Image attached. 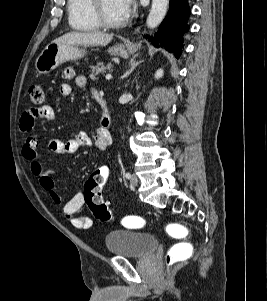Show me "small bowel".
<instances>
[{
	"label": "small bowel",
	"instance_id": "1",
	"mask_svg": "<svg viewBox=\"0 0 267 301\" xmlns=\"http://www.w3.org/2000/svg\"><path fill=\"white\" fill-rule=\"evenodd\" d=\"M63 82L59 87V92L62 96H69L71 94V86L68 81L74 78V71L72 69H64L61 73ZM77 87L81 89L88 88L87 78L84 76H77L75 78ZM95 96L97 91L91 89ZM55 113L52 107L45 105L40 108H32L24 112L20 117L19 129L25 134V141L22 146V155L30 162V168L34 176L37 178L40 186L47 191L51 200L57 204L61 202V197L55 187L52 173L44 171L39 160L38 138L34 133V124L36 119L45 121H52ZM111 136L109 131L104 130L101 126L96 130L94 142L91 141L85 132H78L73 138L66 142L59 139H50L48 143L49 149L57 154H72L82 147L94 145L98 150L103 151L111 144ZM85 204L82 192H77L71 199H69L62 207V215L69 219L71 224L78 229H88L92 226V219L89 217H82L79 212Z\"/></svg>",
	"mask_w": 267,
	"mask_h": 301
}]
</instances>
